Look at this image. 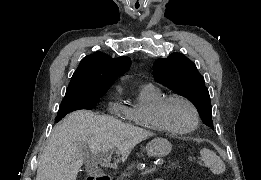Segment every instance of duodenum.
I'll return each instance as SVG.
<instances>
[{"mask_svg": "<svg viewBox=\"0 0 261 180\" xmlns=\"http://www.w3.org/2000/svg\"><path fill=\"white\" fill-rule=\"evenodd\" d=\"M86 180H110L108 173H91V177H86Z\"/></svg>", "mask_w": 261, "mask_h": 180, "instance_id": "obj_1", "label": "duodenum"}]
</instances>
